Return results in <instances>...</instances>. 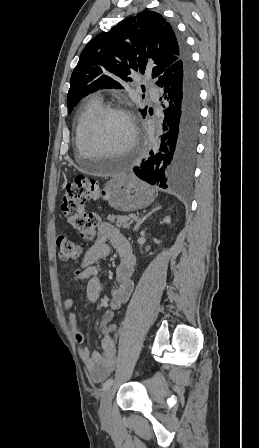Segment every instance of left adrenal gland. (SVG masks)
<instances>
[{"mask_svg": "<svg viewBox=\"0 0 259 448\" xmlns=\"http://www.w3.org/2000/svg\"><path fill=\"white\" fill-rule=\"evenodd\" d=\"M156 210H161V206H158V208H154V210H151V212H149V214H146V216H143V218H141V220H138L134 230H138V228H140L141 224H143L144 220H146V218H149V216H151V214H154V212H156Z\"/></svg>", "mask_w": 259, "mask_h": 448, "instance_id": "1", "label": "left adrenal gland"}]
</instances>
